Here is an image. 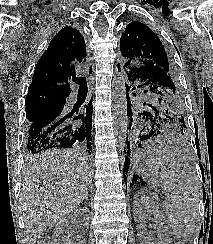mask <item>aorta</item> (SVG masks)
Listing matches in <instances>:
<instances>
[{"instance_id": "aorta-1", "label": "aorta", "mask_w": 213, "mask_h": 244, "mask_svg": "<svg viewBox=\"0 0 213 244\" xmlns=\"http://www.w3.org/2000/svg\"><path fill=\"white\" fill-rule=\"evenodd\" d=\"M126 77L120 75L113 81V129L117 147L123 151L127 143V104H126Z\"/></svg>"}]
</instances>
